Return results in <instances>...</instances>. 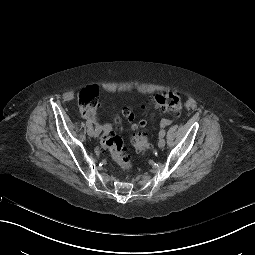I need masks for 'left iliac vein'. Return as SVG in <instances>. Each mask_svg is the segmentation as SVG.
I'll return each instance as SVG.
<instances>
[{
  "instance_id": "4c4485c4",
  "label": "left iliac vein",
  "mask_w": 255,
  "mask_h": 255,
  "mask_svg": "<svg viewBox=\"0 0 255 255\" xmlns=\"http://www.w3.org/2000/svg\"><path fill=\"white\" fill-rule=\"evenodd\" d=\"M165 139L164 138H160L159 142H158V147L159 148H163L165 146Z\"/></svg>"
}]
</instances>
